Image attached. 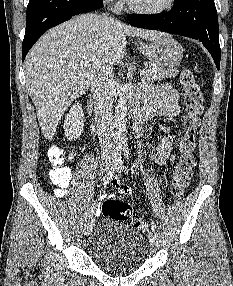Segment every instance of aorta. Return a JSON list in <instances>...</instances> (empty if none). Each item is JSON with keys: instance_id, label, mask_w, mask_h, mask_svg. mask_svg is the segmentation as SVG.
<instances>
[{"instance_id": "1", "label": "aorta", "mask_w": 233, "mask_h": 286, "mask_svg": "<svg viewBox=\"0 0 233 286\" xmlns=\"http://www.w3.org/2000/svg\"><path fill=\"white\" fill-rule=\"evenodd\" d=\"M115 134L117 142H124L126 140V124H127V98L123 92L118 100L115 108Z\"/></svg>"}]
</instances>
